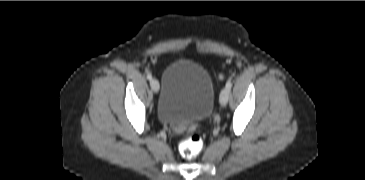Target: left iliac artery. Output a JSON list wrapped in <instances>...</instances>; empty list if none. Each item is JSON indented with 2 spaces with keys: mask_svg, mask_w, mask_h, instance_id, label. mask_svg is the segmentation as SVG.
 I'll use <instances>...</instances> for the list:
<instances>
[{
  "mask_svg": "<svg viewBox=\"0 0 365 180\" xmlns=\"http://www.w3.org/2000/svg\"><path fill=\"white\" fill-rule=\"evenodd\" d=\"M231 87H232V81L228 80L227 83H226V88H228L230 90Z\"/></svg>",
  "mask_w": 365,
  "mask_h": 180,
  "instance_id": "left-iliac-artery-1",
  "label": "left iliac artery"
}]
</instances>
